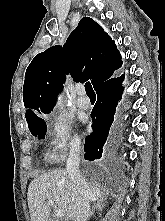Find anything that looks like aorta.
I'll list each match as a JSON object with an SVG mask.
<instances>
[{
	"label": "aorta",
	"mask_w": 165,
	"mask_h": 221,
	"mask_svg": "<svg viewBox=\"0 0 165 221\" xmlns=\"http://www.w3.org/2000/svg\"><path fill=\"white\" fill-rule=\"evenodd\" d=\"M61 105H62V104H61V102L59 101V102H58V106H61Z\"/></svg>",
	"instance_id": "762f6f07"
}]
</instances>
